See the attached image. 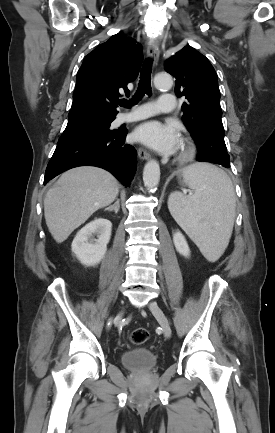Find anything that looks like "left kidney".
I'll list each match as a JSON object with an SVG mask.
<instances>
[{
  "label": "left kidney",
  "instance_id": "5707ae66",
  "mask_svg": "<svg viewBox=\"0 0 275 433\" xmlns=\"http://www.w3.org/2000/svg\"><path fill=\"white\" fill-rule=\"evenodd\" d=\"M173 242L176 250L183 256L188 257L190 255V249L187 244L185 237L181 232H176L173 235Z\"/></svg>",
  "mask_w": 275,
  "mask_h": 433
}]
</instances>
